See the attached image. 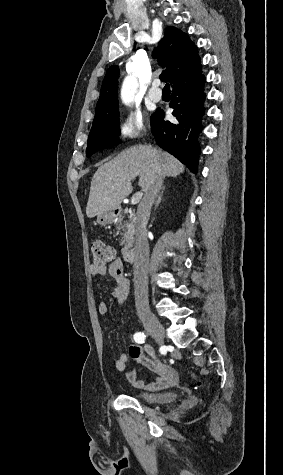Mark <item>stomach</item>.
I'll return each instance as SVG.
<instances>
[{
	"label": "stomach",
	"mask_w": 283,
	"mask_h": 475,
	"mask_svg": "<svg viewBox=\"0 0 283 475\" xmlns=\"http://www.w3.org/2000/svg\"><path fill=\"white\" fill-rule=\"evenodd\" d=\"M116 214L114 210L112 212H102L97 216V224L100 226H106V224H113L115 222Z\"/></svg>",
	"instance_id": "obj_1"
}]
</instances>
